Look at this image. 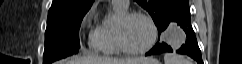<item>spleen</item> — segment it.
<instances>
[{
    "instance_id": "spleen-1",
    "label": "spleen",
    "mask_w": 242,
    "mask_h": 64,
    "mask_svg": "<svg viewBox=\"0 0 242 64\" xmlns=\"http://www.w3.org/2000/svg\"><path fill=\"white\" fill-rule=\"evenodd\" d=\"M165 64H191L187 59L176 54H165Z\"/></svg>"
}]
</instances>
